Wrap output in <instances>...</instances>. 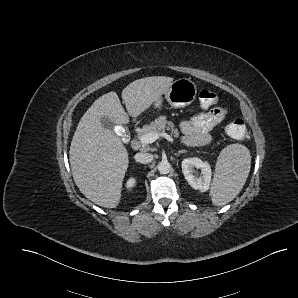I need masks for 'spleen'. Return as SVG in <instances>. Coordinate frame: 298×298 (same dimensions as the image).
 <instances>
[{"mask_svg":"<svg viewBox=\"0 0 298 298\" xmlns=\"http://www.w3.org/2000/svg\"><path fill=\"white\" fill-rule=\"evenodd\" d=\"M250 165V153L242 145H229L221 151L210 190L216 205L230 202L240 192L248 177Z\"/></svg>","mask_w":298,"mask_h":298,"instance_id":"3e777b00","label":"spleen"}]
</instances>
